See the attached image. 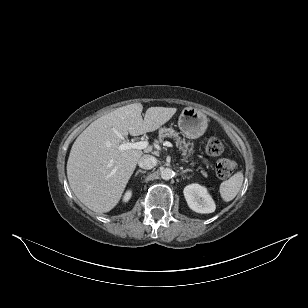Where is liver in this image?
Listing matches in <instances>:
<instances>
[{
	"mask_svg": "<svg viewBox=\"0 0 308 308\" xmlns=\"http://www.w3.org/2000/svg\"><path fill=\"white\" fill-rule=\"evenodd\" d=\"M142 110L141 103L117 108L93 121L72 145L67 162L69 185L77 198L95 212H108L118 204L139 159L151 151V147L144 152L120 151V143L128 134L139 136L157 130L177 111L150 107L143 119Z\"/></svg>",
	"mask_w": 308,
	"mask_h": 308,
	"instance_id": "obj_1",
	"label": "liver"
}]
</instances>
